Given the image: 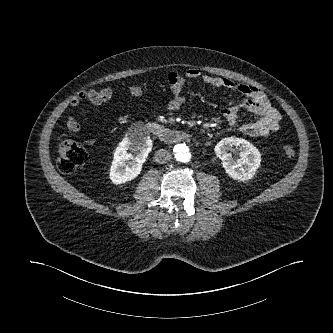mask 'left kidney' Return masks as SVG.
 I'll return each instance as SVG.
<instances>
[{"label":"left kidney","mask_w":333,"mask_h":333,"mask_svg":"<svg viewBox=\"0 0 333 333\" xmlns=\"http://www.w3.org/2000/svg\"><path fill=\"white\" fill-rule=\"evenodd\" d=\"M233 148L240 150L239 158L232 157ZM215 153L222 160V166L227 174L239 181L251 179L260 166L261 154L250 142L243 138L227 137L215 146Z\"/></svg>","instance_id":"1"}]
</instances>
